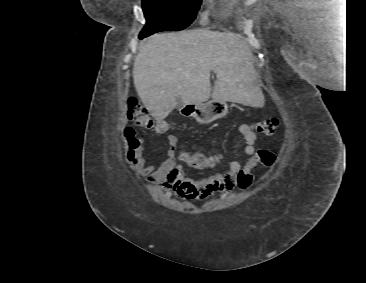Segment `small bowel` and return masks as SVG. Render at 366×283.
I'll return each mask as SVG.
<instances>
[{
    "mask_svg": "<svg viewBox=\"0 0 366 283\" xmlns=\"http://www.w3.org/2000/svg\"><path fill=\"white\" fill-rule=\"evenodd\" d=\"M239 131L244 137V153L251 156L249 162L256 153L257 136L248 124H241ZM167 142V156L160 165L146 164L142 146L136 147L131 162L138 173L146 176L150 184L179 199L200 201L206 200L215 193H229L236 187L238 174L248 163L243 166L239 161H231L225 172L194 179L188 176L184 167L178 163L176 156L178 138L175 135H168ZM187 156V154H183L181 159L187 161ZM219 158V156H209L207 164L199 169L213 167Z\"/></svg>",
    "mask_w": 366,
    "mask_h": 283,
    "instance_id": "obj_1",
    "label": "small bowel"
}]
</instances>
